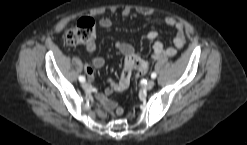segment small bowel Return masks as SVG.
I'll use <instances>...</instances> for the list:
<instances>
[{
  "instance_id": "c3829d8e",
  "label": "small bowel",
  "mask_w": 247,
  "mask_h": 145,
  "mask_svg": "<svg viewBox=\"0 0 247 145\" xmlns=\"http://www.w3.org/2000/svg\"><path fill=\"white\" fill-rule=\"evenodd\" d=\"M128 12H124L127 15ZM164 23L171 29L174 30L175 36L173 38L174 47L164 48L161 41L158 40V33L155 30H151L147 33V38L153 41V54L149 60L140 58L136 55L134 47L126 42L118 41L116 42V48L124 56V66L128 68L129 76L124 78L121 74L119 80L109 79L108 87L102 93H97L96 97L102 104L104 110L113 118L121 116L123 114V109L115 101L111 100L109 97L114 92H121L127 89L130 83V77L133 71H137L138 74H145L149 69L150 65L155 62L162 60L166 57H173L177 49H182L185 45V32L184 25L175 20L172 17H166ZM113 22L109 17H102L99 19L100 27L108 29L112 26ZM96 48L94 42L86 45V49L89 52H93ZM137 59L139 64L135 65L133 60ZM105 64V59L102 56H95L92 58L91 63H86L84 65V70L89 76L90 80L94 79V70L103 67Z\"/></svg>"
}]
</instances>
